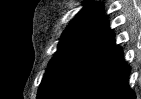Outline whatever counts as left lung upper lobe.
<instances>
[{"label": "left lung upper lobe", "instance_id": "5c2ea615", "mask_svg": "<svg viewBox=\"0 0 141 99\" xmlns=\"http://www.w3.org/2000/svg\"><path fill=\"white\" fill-rule=\"evenodd\" d=\"M102 13V5L88 4L69 24L62 34L58 51L49 62L48 71L40 85L37 98H40L54 83L74 54L105 23Z\"/></svg>", "mask_w": 141, "mask_h": 99}]
</instances>
